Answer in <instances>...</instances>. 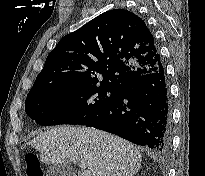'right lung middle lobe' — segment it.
I'll list each match as a JSON object with an SVG mask.
<instances>
[{"label": "right lung middle lobe", "instance_id": "right-lung-middle-lobe-1", "mask_svg": "<svg viewBox=\"0 0 205 176\" xmlns=\"http://www.w3.org/2000/svg\"><path fill=\"white\" fill-rule=\"evenodd\" d=\"M118 89L109 86H67L27 95L25 111L39 125H86L111 102Z\"/></svg>", "mask_w": 205, "mask_h": 176}]
</instances>
